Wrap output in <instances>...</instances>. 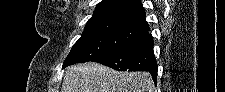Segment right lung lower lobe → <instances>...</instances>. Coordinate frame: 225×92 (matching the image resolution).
<instances>
[{"mask_svg":"<svg viewBox=\"0 0 225 92\" xmlns=\"http://www.w3.org/2000/svg\"><path fill=\"white\" fill-rule=\"evenodd\" d=\"M153 38L148 32L140 38L97 56L91 61L118 71H149L157 82V63L153 52Z\"/></svg>","mask_w":225,"mask_h":92,"instance_id":"1","label":"right lung lower lobe"}]
</instances>
